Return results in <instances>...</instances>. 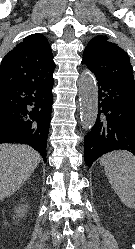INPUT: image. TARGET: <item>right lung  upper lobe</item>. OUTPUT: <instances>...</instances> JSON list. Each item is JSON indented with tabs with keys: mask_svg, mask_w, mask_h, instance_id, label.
Listing matches in <instances>:
<instances>
[{
	"mask_svg": "<svg viewBox=\"0 0 135 249\" xmlns=\"http://www.w3.org/2000/svg\"><path fill=\"white\" fill-rule=\"evenodd\" d=\"M54 69L53 54L46 37L38 33L29 35L3 58L0 88L48 81L53 78Z\"/></svg>",
	"mask_w": 135,
	"mask_h": 249,
	"instance_id": "right-lung-upper-lobe-1",
	"label": "right lung upper lobe"
}]
</instances>
